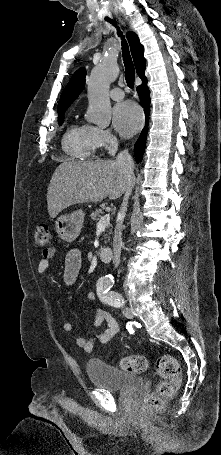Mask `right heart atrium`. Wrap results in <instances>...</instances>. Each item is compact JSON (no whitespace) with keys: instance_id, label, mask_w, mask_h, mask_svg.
Returning <instances> with one entry per match:
<instances>
[{"instance_id":"right-heart-atrium-1","label":"right heart atrium","mask_w":221,"mask_h":455,"mask_svg":"<svg viewBox=\"0 0 221 455\" xmlns=\"http://www.w3.org/2000/svg\"><path fill=\"white\" fill-rule=\"evenodd\" d=\"M93 141L96 148H105L113 151L116 139L110 130L92 126Z\"/></svg>"}]
</instances>
